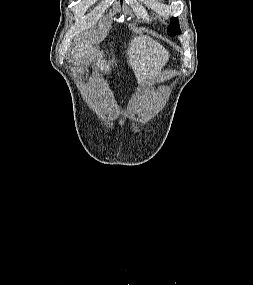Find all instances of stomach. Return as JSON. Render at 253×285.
Listing matches in <instances>:
<instances>
[{"instance_id":"obj_1","label":"stomach","mask_w":253,"mask_h":285,"mask_svg":"<svg viewBox=\"0 0 253 285\" xmlns=\"http://www.w3.org/2000/svg\"><path fill=\"white\" fill-rule=\"evenodd\" d=\"M156 79L151 78L150 80L146 81L145 84L142 85V87L152 86L155 83Z\"/></svg>"}]
</instances>
